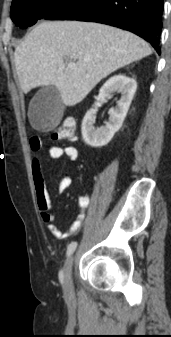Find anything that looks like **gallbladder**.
Masks as SVG:
<instances>
[{"instance_id": "bac80fb5", "label": "gallbladder", "mask_w": 171, "mask_h": 337, "mask_svg": "<svg viewBox=\"0 0 171 337\" xmlns=\"http://www.w3.org/2000/svg\"><path fill=\"white\" fill-rule=\"evenodd\" d=\"M64 112V104L55 86H45L30 102L28 117L31 125L41 131L56 127Z\"/></svg>"}]
</instances>
